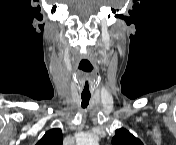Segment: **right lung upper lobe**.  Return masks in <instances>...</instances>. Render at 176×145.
<instances>
[{"label": "right lung upper lobe", "instance_id": "right-lung-upper-lobe-1", "mask_svg": "<svg viewBox=\"0 0 176 145\" xmlns=\"http://www.w3.org/2000/svg\"><path fill=\"white\" fill-rule=\"evenodd\" d=\"M37 145H62L61 129L55 128L47 131Z\"/></svg>", "mask_w": 176, "mask_h": 145}]
</instances>
